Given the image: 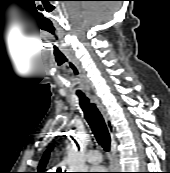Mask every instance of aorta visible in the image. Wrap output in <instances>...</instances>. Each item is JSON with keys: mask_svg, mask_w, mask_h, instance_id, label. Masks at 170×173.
I'll use <instances>...</instances> for the list:
<instances>
[{"mask_svg": "<svg viewBox=\"0 0 170 173\" xmlns=\"http://www.w3.org/2000/svg\"><path fill=\"white\" fill-rule=\"evenodd\" d=\"M81 147L87 144V136L80 134L77 138ZM67 162L70 172H84L85 170V156L83 151H78L74 147L68 151Z\"/></svg>", "mask_w": 170, "mask_h": 173, "instance_id": "762f6f07", "label": "aorta"}]
</instances>
